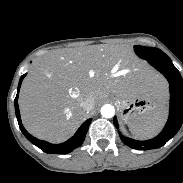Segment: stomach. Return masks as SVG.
I'll use <instances>...</instances> for the list:
<instances>
[{"label": "stomach", "mask_w": 183, "mask_h": 183, "mask_svg": "<svg viewBox=\"0 0 183 183\" xmlns=\"http://www.w3.org/2000/svg\"><path fill=\"white\" fill-rule=\"evenodd\" d=\"M113 98L118 105L122 121L128 124L135 123L159 106L158 102L148 95L121 97L115 94Z\"/></svg>", "instance_id": "stomach-1"}]
</instances>
